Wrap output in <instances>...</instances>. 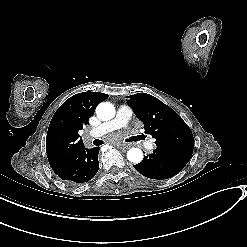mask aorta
I'll use <instances>...</instances> for the list:
<instances>
[{
	"instance_id": "1",
	"label": "aorta",
	"mask_w": 247,
	"mask_h": 247,
	"mask_svg": "<svg viewBox=\"0 0 247 247\" xmlns=\"http://www.w3.org/2000/svg\"><path fill=\"white\" fill-rule=\"evenodd\" d=\"M96 114L102 121H108L115 116V107L109 102H102L96 108ZM130 162L140 163L143 160V152L139 148H131L127 152Z\"/></svg>"
}]
</instances>
